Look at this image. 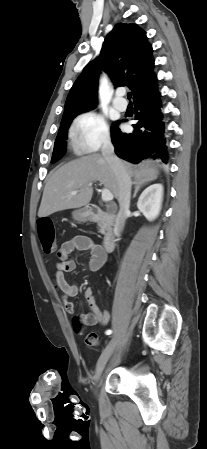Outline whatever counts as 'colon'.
<instances>
[{
    "label": "colon",
    "instance_id": "1",
    "mask_svg": "<svg viewBox=\"0 0 207 449\" xmlns=\"http://www.w3.org/2000/svg\"><path fill=\"white\" fill-rule=\"evenodd\" d=\"M38 229L43 251L45 253H54L57 249L54 225L48 218H41L38 221ZM82 325L81 319L77 318L74 326L80 329ZM84 341L88 346H96L98 344V336L95 332H89L85 335Z\"/></svg>",
    "mask_w": 207,
    "mask_h": 449
}]
</instances>
